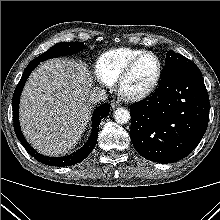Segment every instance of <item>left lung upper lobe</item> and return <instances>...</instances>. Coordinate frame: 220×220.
<instances>
[{
    "instance_id": "obj_1",
    "label": "left lung upper lobe",
    "mask_w": 220,
    "mask_h": 220,
    "mask_svg": "<svg viewBox=\"0 0 220 220\" xmlns=\"http://www.w3.org/2000/svg\"><path fill=\"white\" fill-rule=\"evenodd\" d=\"M187 61H189V59L182 56L181 54L175 53L170 50L167 52L166 58H165L166 65L175 64V63H182V62H187Z\"/></svg>"
}]
</instances>
